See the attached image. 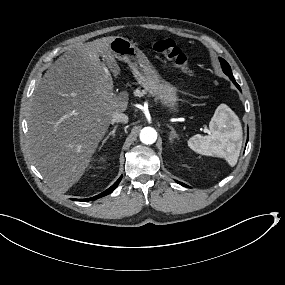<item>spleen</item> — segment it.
Segmentation results:
<instances>
[{
  "mask_svg": "<svg viewBox=\"0 0 285 285\" xmlns=\"http://www.w3.org/2000/svg\"><path fill=\"white\" fill-rule=\"evenodd\" d=\"M219 125H223L227 129V119L224 114L218 115L215 113L209 122L211 135H193L189 138L187 146L197 154L222 158L228 163L229 167H234L239 155V151L236 149L240 147V127H237L234 131L228 129L221 131L218 129ZM233 150L236 151L232 152Z\"/></svg>",
  "mask_w": 285,
  "mask_h": 285,
  "instance_id": "1",
  "label": "spleen"
}]
</instances>
